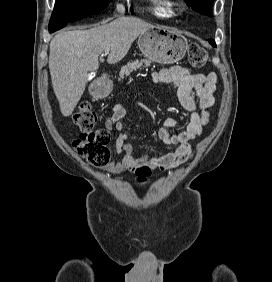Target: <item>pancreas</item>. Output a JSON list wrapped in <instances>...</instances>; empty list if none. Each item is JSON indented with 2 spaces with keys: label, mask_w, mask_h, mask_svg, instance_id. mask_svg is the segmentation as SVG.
I'll list each match as a JSON object with an SVG mask.
<instances>
[{
  "label": "pancreas",
  "mask_w": 272,
  "mask_h": 282,
  "mask_svg": "<svg viewBox=\"0 0 272 282\" xmlns=\"http://www.w3.org/2000/svg\"><path fill=\"white\" fill-rule=\"evenodd\" d=\"M151 62L147 59H142V60H135L128 62L125 66L121 68V71L119 72V78L118 80L120 81L123 79L125 76H129L133 71H136L137 69H141L144 67L150 66Z\"/></svg>",
  "instance_id": "pancreas-1"
}]
</instances>
